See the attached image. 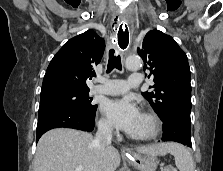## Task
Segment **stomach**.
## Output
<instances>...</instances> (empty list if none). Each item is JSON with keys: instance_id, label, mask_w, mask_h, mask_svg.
Masks as SVG:
<instances>
[{"instance_id": "obj_1", "label": "stomach", "mask_w": 223, "mask_h": 171, "mask_svg": "<svg viewBox=\"0 0 223 171\" xmlns=\"http://www.w3.org/2000/svg\"><path fill=\"white\" fill-rule=\"evenodd\" d=\"M132 163L139 171H156L158 159L155 155L144 153H133Z\"/></svg>"}]
</instances>
